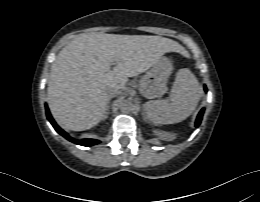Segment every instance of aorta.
Wrapping results in <instances>:
<instances>
[{"label": "aorta", "instance_id": "762f6f07", "mask_svg": "<svg viewBox=\"0 0 260 202\" xmlns=\"http://www.w3.org/2000/svg\"><path fill=\"white\" fill-rule=\"evenodd\" d=\"M121 110L125 113H130L133 110V104L130 101H125L121 105Z\"/></svg>", "mask_w": 260, "mask_h": 202}]
</instances>
